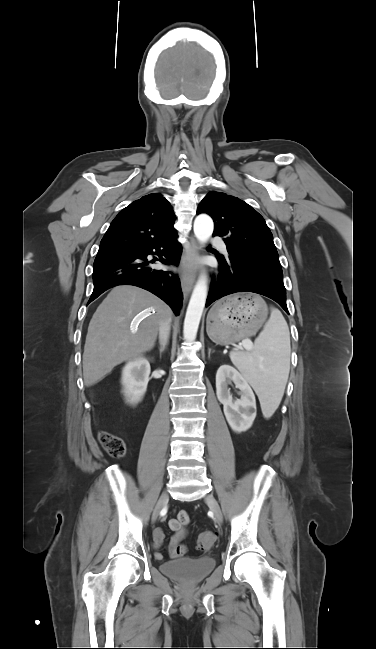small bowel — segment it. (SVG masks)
<instances>
[{"label": "small bowel", "instance_id": "obj_1", "mask_svg": "<svg viewBox=\"0 0 376 649\" xmlns=\"http://www.w3.org/2000/svg\"><path fill=\"white\" fill-rule=\"evenodd\" d=\"M190 523V517L186 511L180 510L168 522L169 528L175 533L169 545V553L172 557H180L185 553V548L180 545L181 540L186 535V527ZM164 540V533L162 529L157 528L154 531V545L159 548ZM156 558L159 560L163 558L162 554L157 552Z\"/></svg>", "mask_w": 376, "mask_h": 649}]
</instances>
